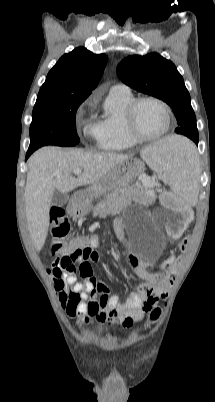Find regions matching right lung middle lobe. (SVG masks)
<instances>
[{
  "label": "right lung middle lobe",
  "mask_w": 215,
  "mask_h": 402,
  "mask_svg": "<svg viewBox=\"0 0 215 402\" xmlns=\"http://www.w3.org/2000/svg\"><path fill=\"white\" fill-rule=\"evenodd\" d=\"M86 98L37 97L30 125V146L34 152L45 145L75 146L80 139L76 133L75 117L80 104Z\"/></svg>",
  "instance_id": "dd1d6c3e"
}]
</instances>
